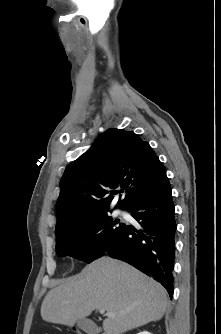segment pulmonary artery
<instances>
[{
	"label": "pulmonary artery",
	"mask_w": 221,
	"mask_h": 334,
	"mask_svg": "<svg viewBox=\"0 0 221 334\" xmlns=\"http://www.w3.org/2000/svg\"><path fill=\"white\" fill-rule=\"evenodd\" d=\"M116 213H117V214H121V211H120V210H116Z\"/></svg>",
	"instance_id": "1"
}]
</instances>
